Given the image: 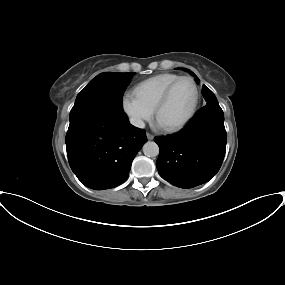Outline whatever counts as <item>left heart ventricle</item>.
Returning <instances> with one entry per match:
<instances>
[{
  "label": "left heart ventricle",
  "mask_w": 285,
  "mask_h": 285,
  "mask_svg": "<svg viewBox=\"0 0 285 285\" xmlns=\"http://www.w3.org/2000/svg\"><path fill=\"white\" fill-rule=\"evenodd\" d=\"M194 100L195 90L191 81H180L173 89L168 102L159 112L157 121L163 127L181 122L191 111Z\"/></svg>",
  "instance_id": "left-heart-ventricle-1"
}]
</instances>
